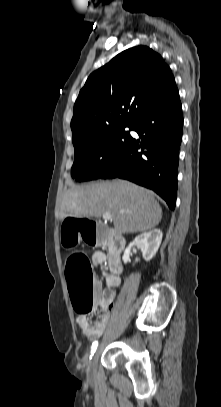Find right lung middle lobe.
<instances>
[{
  "label": "right lung middle lobe",
  "mask_w": 221,
  "mask_h": 407,
  "mask_svg": "<svg viewBox=\"0 0 221 407\" xmlns=\"http://www.w3.org/2000/svg\"><path fill=\"white\" fill-rule=\"evenodd\" d=\"M133 130V124L113 127L87 137L75 144L71 176L76 181L100 178L115 164L129 147L132 137L125 128Z\"/></svg>",
  "instance_id": "dd1d6c3e"
}]
</instances>
